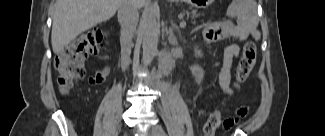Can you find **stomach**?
<instances>
[{
    "mask_svg": "<svg viewBox=\"0 0 325 136\" xmlns=\"http://www.w3.org/2000/svg\"><path fill=\"white\" fill-rule=\"evenodd\" d=\"M174 1H185L189 3L191 6L196 8H205L213 2V0H174Z\"/></svg>",
    "mask_w": 325,
    "mask_h": 136,
    "instance_id": "1",
    "label": "stomach"
}]
</instances>
